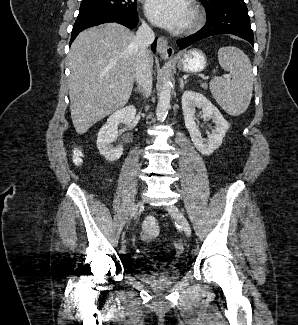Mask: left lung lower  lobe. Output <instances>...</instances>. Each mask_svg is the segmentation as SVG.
Segmentation results:
<instances>
[{
	"mask_svg": "<svg viewBox=\"0 0 298 325\" xmlns=\"http://www.w3.org/2000/svg\"><path fill=\"white\" fill-rule=\"evenodd\" d=\"M218 34H233L254 46L250 18L244 0H229L209 9L205 26L197 33L177 40V45L182 50L201 39Z\"/></svg>",
	"mask_w": 298,
	"mask_h": 325,
	"instance_id": "obj_1",
	"label": "left lung lower lobe"
}]
</instances>
